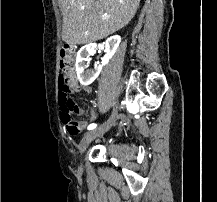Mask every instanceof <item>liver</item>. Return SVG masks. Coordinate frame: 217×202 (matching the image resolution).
<instances>
[{
  "label": "liver",
  "instance_id": "6515ba94",
  "mask_svg": "<svg viewBox=\"0 0 217 202\" xmlns=\"http://www.w3.org/2000/svg\"><path fill=\"white\" fill-rule=\"evenodd\" d=\"M63 16L62 40L90 44L127 26L140 0H58ZM106 16L107 20H102Z\"/></svg>",
  "mask_w": 217,
  "mask_h": 202
}]
</instances>
